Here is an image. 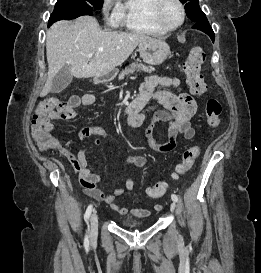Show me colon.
I'll return each instance as SVG.
<instances>
[{
    "label": "colon",
    "mask_w": 261,
    "mask_h": 273,
    "mask_svg": "<svg viewBox=\"0 0 261 273\" xmlns=\"http://www.w3.org/2000/svg\"><path fill=\"white\" fill-rule=\"evenodd\" d=\"M205 51L200 46L191 49L187 59L183 63V72L186 76V83L191 92L196 96H202L206 92V83L204 82L200 68L205 61ZM79 103L78 96H72L69 102L64 103L56 98H49L40 103L33 115L31 122V134L41 150H49L58 147L57 139L46 129V121L51 113L56 112L61 119H71L75 112L73 107ZM221 104L217 99H209L206 102L205 112L207 124L211 130L219 127L221 119ZM200 154L198 146H192L183 153L181 162L176 165L172 178L178 179L187 173L193 166L195 160ZM169 184L166 181H160L147 189V194L151 198L162 197L168 190Z\"/></svg>",
    "instance_id": "colon-1"
}]
</instances>
